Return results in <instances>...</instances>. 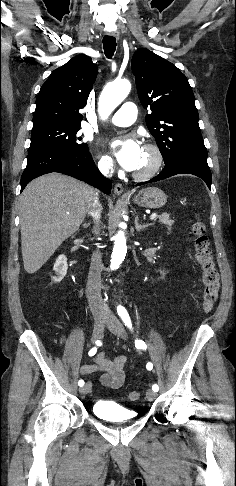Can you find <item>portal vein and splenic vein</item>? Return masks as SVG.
Listing matches in <instances>:
<instances>
[{"label":"portal vein and splenic vein","mask_w":236,"mask_h":486,"mask_svg":"<svg viewBox=\"0 0 236 486\" xmlns=\"http://www.w3.org/2000/svg\"><path fill=\"white\" fill-rule=\"evenodd\" d=\"M156 218H157V214H156V213H153V214L150 216V219H151V220H154V219H156Z\"/></svg>","instance_id":"1"}]
</instances>
